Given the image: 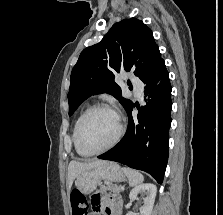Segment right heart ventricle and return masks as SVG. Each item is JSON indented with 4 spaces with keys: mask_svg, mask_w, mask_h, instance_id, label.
I'll return each instance as SVG.
<instances>
[{
    "mask_svg": "<svg viewBox=\"0 0 223 215\" xmlns=\"http://www.w3.org/2000/svg\"><path fill=\"white\" fill-rule=\"evenodd\" d=\"M86 111H87V110H84V111H82V112L78 115V117H77V119H76V121H75V123H74L73 130H72V141H73L75 150H76V152H77L79 155H82V156H86V155L82 154L81 151H80V150L78 149V147H77V143H76V131H77L78 124H79L81 118L83 117V115L85 114Z\"/></svg>",
    "mask_w": 223,
    "mask_h": 215,
    "instance_id": "e07e8e85",
    "label": "right heart ventricle"
}]
</instances>
